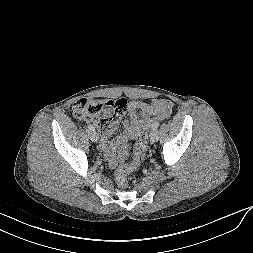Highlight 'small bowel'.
<instances>
[{
  "label": "small bowel",
  "instance_id": "small-bowel-1",
  "mask_svg": "<svg viewBox=\"0 0 253 253\" xmlns=\"http://www.w3.org/2000/svg\"><path fill=\"white\" fill-rule=\"evenodd\" d=\"M173 107V103L166 99H156L150 103L140 100L129 102L127 105L129 120L124 123V133L115 141L111 140L117 123L114 130L105 134L101 139L100 148L107 158L110 168H116L128 158L130 153L129 140L136 138L139 131L145 126H150L153 120L168 118Z\"/></svg>",
  "mask_w": 253,
  "mask_h": 253
}]
</instances>
